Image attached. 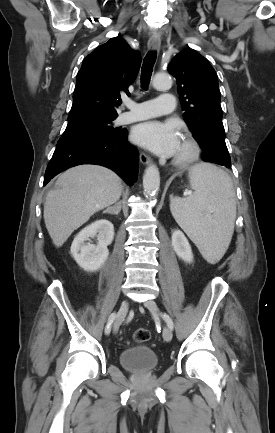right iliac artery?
<instances>
[{"label": "right iliac artery", "mask_w": 275, "mask_h": 433, "mask_svg": "<svg viewBox=\"0 0 275 433\" xmlns=\"http://www.w3.org/2000/svg\"><path fill=\"white\" fill-rule=\"evenodd\" d=\"M115 317H116V313H112L108 318V322H107V325L105 328V333L107 335L110 333L111 326H112L113 321L115 320Z\"/></svg>", "instance_id": "right-iliac-artery-1"}]
</instances>
